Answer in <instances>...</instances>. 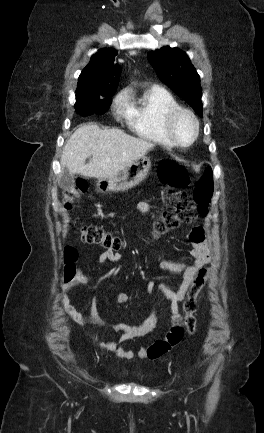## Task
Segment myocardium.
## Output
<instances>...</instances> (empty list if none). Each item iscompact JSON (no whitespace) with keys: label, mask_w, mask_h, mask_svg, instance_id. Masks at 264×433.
<instances>
[{"label":"myocardium","mask_w":264,"mask_h":433,"mask_svg":"<svg viewBox=\"0 0 264 433\" xmlns=\"http://www.w3.org/2000/svg\"><path fill=\"white\" fill-rule=\"evenodd\" d=\"M180 115H187L194 124V134L191 141L188 143H182L181 141H179L173 130L174 123ZM163 128L171 143L178 147H189L193 145L200 134V123L197 116L194 114L193 111L182 106L174 107L164 114Z\"/></svg>","instance_id":"f54148a6"}]
</instances>
